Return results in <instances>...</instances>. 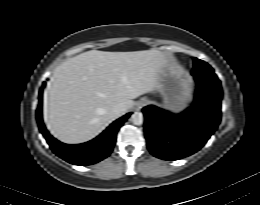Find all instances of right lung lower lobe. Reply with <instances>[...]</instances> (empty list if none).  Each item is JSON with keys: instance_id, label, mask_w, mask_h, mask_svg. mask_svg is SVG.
Listing matches in <instances>:
<instances>
[{"instance_id": "98d812e1", "label": "right lung lower lobe", "mask_w": 260, "mask_h": 205, "mask_svg": "<svg viewBox=\"0 0 260 205\" xmlns=\"http://www.w3.org/2000/svg\"><path fill=\"white\" fill-rule=\"evenodd\" d=\"M44 86L45 82L43 83ZM43 87L39 90V106L36 115L39 129L52 151L65 161L82 166L97 163L109 156L113 150L119 128L131 113L114 121L102 134L89 142L77 145L64 144L53 138L43 124L41 113Z\"/></svg>"}]
</instances>
